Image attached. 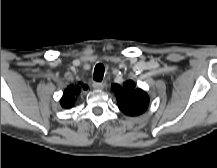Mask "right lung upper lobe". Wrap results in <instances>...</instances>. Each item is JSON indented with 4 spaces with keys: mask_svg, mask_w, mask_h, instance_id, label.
<instances>
[{
    "mask_svg": "<svg viewBox=\"0 0 217 168\" xmlns=\"http://www.w3.org/2000/svg\"><path fill=\"white\" fill-rule=\"evenodd\" d=\"M79 84H81V87H83V89H87L86 85H83L80 82ZM81 87L77 85H70L68 86L67 89H65L63 97L61 98V101H60L61 105L64 108H69L74 105L75 98L79 95L81 91Z\"/></svg>",
    "mask_w": 217,
    "mask_h": 168,
    "instance_id": "right-lung-upper-lobe-1",
    "label": "right lung upper lobe"
}]
</instances>
